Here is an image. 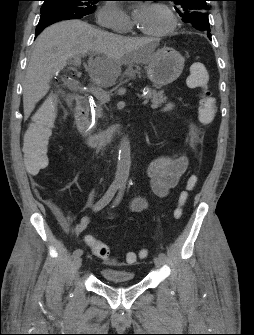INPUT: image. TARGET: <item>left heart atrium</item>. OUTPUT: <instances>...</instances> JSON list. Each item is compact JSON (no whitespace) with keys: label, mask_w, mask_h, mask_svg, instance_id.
<instances>
[{"label":"left heart atrium","mask_w":254,"mask_h":335,"mask_svg":"<svg viewBox=\"0 0 254 335\" xmlns=\"http://www.w3.org/2000/svg\"><path fill=\"white\" fill-rule=\"evenodd\" d=\"M151 6L149 4H139L133 14V18L138 25H141L147 17Z\"/></svg>","instance_id":"39dd6f15"}]
</instances>
